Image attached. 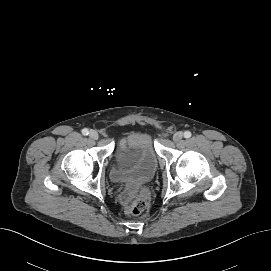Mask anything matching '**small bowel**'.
<instances>
[{"instance_id": "c3829d8e", "label": "small bowel", "mask_w": 271, "mask_h": 271, "mask_svg": "<svg viewBox=\"0 0 271 271\" xmlns=\"http://www.w3.org/2000/svg\"><path fill=\"white\" fill-rule=\"evenodd\" d=\"M120 146H121V148H124V147H125V141H124V140L121 141Z\"/></svg>"}]
</instances>
